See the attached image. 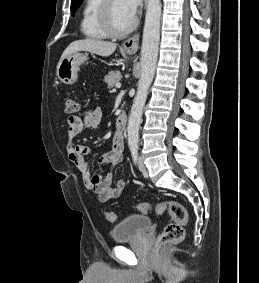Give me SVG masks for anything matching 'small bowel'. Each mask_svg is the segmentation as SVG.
<instances>
[{"instance_id":"obj_1","label":"small bowel","mask_w":259,"mask_h":283,"mask_svg":"<svg viewBox=\"0 0 259 283\" xmlns=\"http://www.w3.org/2000/svg\"><path fill=\"white\" fill-rule=\"evenodd\" d=\"M102 118V110L96 106L80 116H70L67 119L69 141L66 144V153L68 159L75 164L82 175L85 187L93 191L100 202H106L110 199L118 198L122 195L126 188V181L120 179L112 186V178L108 173L102 176L93 173L85 160L86 155L98 154L83 144H74L72 139L82 132L84 128L95 129L99 125ZM124 156V140L120 135H115L112 140L110 150L104 152L100 156V163L103 165L114 166L123 160Z\"/></svg>"}]
</instances>
